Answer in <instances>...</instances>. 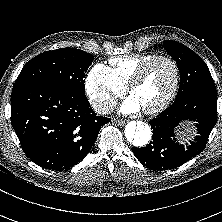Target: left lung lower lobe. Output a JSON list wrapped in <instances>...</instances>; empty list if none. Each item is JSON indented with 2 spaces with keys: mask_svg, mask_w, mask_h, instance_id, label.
I'll return each mask as SVG.
<instances>
[{
  "mask_svg": "<svg viewBox=\"0 0 222 222\" xmlns=\"http://www.w3.org/2000/svg\"><path fill=\"white\" fill-rule=\"evenodd\" d=\"M196 122L197 136L190 145L179 144L175 129L183 122ZM217 121V95L195 92L175 99L174 103L150 120L152 141L146 147H133L141 164L152 170L179 167L200 154Z\"/></svg>",
  "mask_w": 222,
  "mask_h": 222,
  "instance_id": "0a47b994",
  "label": "left lung lower lobe"
}]
</instances>
